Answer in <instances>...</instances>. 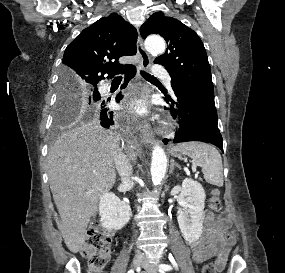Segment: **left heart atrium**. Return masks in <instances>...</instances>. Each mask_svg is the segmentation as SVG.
I'll list each match as a JSON object with an SVG mask.
<instances>
[{"label": "left heart atrium", "instance_id": "obj_1", "mask_svg": "<svg viewBox=\"0 0 285 273\" xmlns=\"http://www.w3.org/2000/svg\"><path fill=\"white\" fill-rule=\"evenodd\" d=\"M137 110H138V111H141V110H142V108H141V107H137Z\"/></svg>", "mask_w": 285, "mask_h": 273}]
</instances>
